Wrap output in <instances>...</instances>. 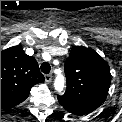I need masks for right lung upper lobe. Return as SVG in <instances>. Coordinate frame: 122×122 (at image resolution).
<instances>
[{
  "label": "right lung upper lobe",
  "mask_w": 122,
  "mask_h": 122,
  "mask_svg": "<svg viewBox=\"0 0 122 122\" xmlns=\"http://www.w3.org/2000/svg\"><path fill=\"white\" fill-rule=\"evenodd\" d=\"M44 80L35 58L25 54L20 46L1 51V108L22 103L31 88Z\"/></svg>",
  "instance_id": "obj_1"
}]
</instances>
